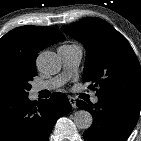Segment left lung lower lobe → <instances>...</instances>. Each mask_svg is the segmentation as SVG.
<instances>
[{"instance_id": "obj_1", "label": "left lung lower lobe", "mask_w": 141, "mask_h": 141, "mask_svg": "<svg viewBox=\"0 0 141 141\" xmlns=\"http://www.w3.org/2000/svg\"><path fill=\"white\" fill-rule=\"evenodd\" d=\"M76 104L93 116V124L83 134L85 141H126L141 108V100L113 97H98L95 105L83 101Z\"/></svg>"}]
</instances>
